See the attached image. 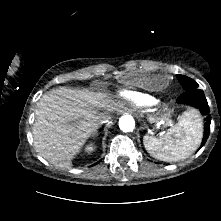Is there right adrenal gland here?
Masks as SVG:
<instances>
[{"mask_svg":"<svg viewBox=\"0 0 221 221\" xmlns=\"http://www.w3.org/2000/svg\"><path fill=\"white\" fill-rule=\"evenodd\" d=\"M98 135V132H95L94 134H93V136H97Z\"/></svg>","mask_w":221,"mask_h":221,"instance_id":"1","label":"right adrenal gland"}]
</instances>
